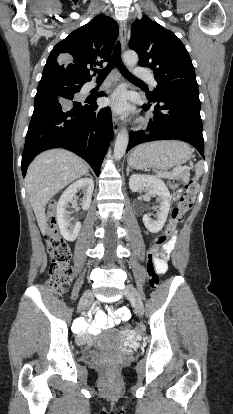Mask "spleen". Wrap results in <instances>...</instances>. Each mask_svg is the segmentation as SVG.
<instances>
[{
  "label": "spleen",
  "instance_id": "1",
  "mask_svg": "<svg viewBox=\"0 0 233 414\" xmlns=\"http://www.w3.org/2000/svg\"><path fill=\"white\" fill-rule=\"evenodd\" d=\"M195 172L198 176H200L203 173V163L201 161H199L196 165H195Z\"/></svg>",
  "mask_w": 233,
  "mask_h": 414
}]
</instances>
